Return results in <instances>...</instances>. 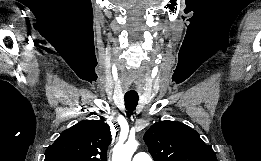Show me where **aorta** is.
I'll return each mask as SVG.
<instances>
[{
	"instance_id": "aorta-1",
	"label": "aorta",
	"mask_w": 261,
	"mask_h": 161,
	"mask_svg": "<svg viewBox=\"0 0 261 161\" xmlns=\"http://www.w3.org/2000/svg\"><path fill=\"white\" fill-rule=\"evenodd\" d=\"M138 147V142L129 140L125 144L114 147L112 161H131V158Z\"/></svg>"
}]
</instances>
